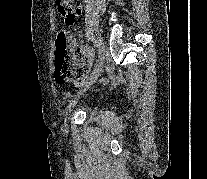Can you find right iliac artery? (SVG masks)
<instances>
[{"label": "right iliac artery", "instance_id": "obj_1", "mask_svg": "<svg viewBox=\"0 0 207 179\" xmlns=\"http://www.w3.org/2000/svg\"><path fill=\"white\" fill-rule=\"evenodd\" d=\"M92 41L95 47L98 48L100 46L99 42L96 39L93 38Z\"/></svg>", "mask_w": 207, "mask_h": 179}]
</instances>
